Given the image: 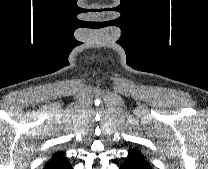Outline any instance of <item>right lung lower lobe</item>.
I'll return each mask as SVG.
<instances>
[{"label": "right lung lower lobe", "mask_w": 208, "mask_h": 169, "mask_svg": "<svg viewBox=\"0 0 208 169\" xmlns=\"http://www.w3.org/2000/svg\"><path fill=\"white\" fill-rule=\"evenodd\" d=\"M46 169H73L67 158L51 164Z\"/></svg>", "instance_id": "98d812e1"}]
</instances>
